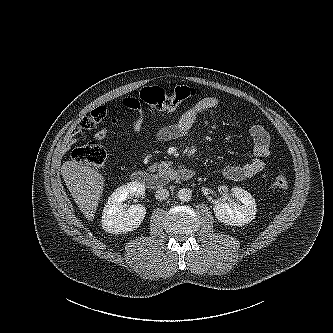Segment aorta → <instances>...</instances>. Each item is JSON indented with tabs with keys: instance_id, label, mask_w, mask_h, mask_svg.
<instances>
[{
	"instance_id": "aorta-1",
	"label": "aorta",
	"mask_w": 333,
	"mask_h": 333,
	"mask_svg": "<svg viewBox=\"0 0 333 333\" xmlns=\"http://www.w3.org/2000/svg\"><path fill=\"white\" fill-rule=\"evenodd\" d=\"M178 198L183 202H188L191 199V191L187 188H182L178 191Z\"/></svg>"
}]
</instances>
